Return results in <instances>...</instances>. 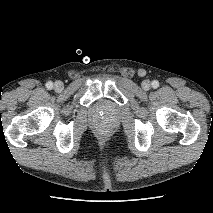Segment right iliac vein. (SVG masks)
I'll list each match as a JSON object with an SVG mask.
<instances>
[{
  "label": "right iliac vein",
  "mask_w": 213,
  "mask_h": 213,
  "mask_svg": "<svg viewBox=\"0 0 213 213\" xmlns=\"http://www.w3.org/2000/svg\"><path fill=\"white\" fill-rule=\"evenodd\" d=\"M63 88H64L63 82H61V81H56L55 82V85H54L55 91L61 92L63 90Z\"/></svg>",
  "instance_id": "right-iliac-vein-1"
}]
</instances>
